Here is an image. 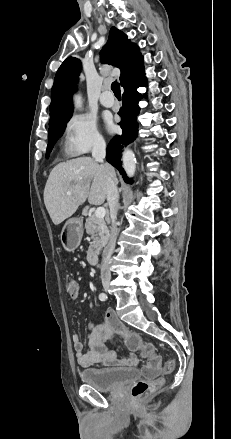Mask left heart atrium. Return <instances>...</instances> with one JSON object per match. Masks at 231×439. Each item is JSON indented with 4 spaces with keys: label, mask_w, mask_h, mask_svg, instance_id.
I'll list each match as a JSON object with an SVG mask.
<instances>
[{
    "label": "left heart atrium",
    "mask_w": 231,
    "mask_h": 439,
    "mask_svg": "<svg viewBox=\"0 0 231 439\" xmlns=\"http://www.w3.org/2000/svg\"><path fill=\"white\" fill-rule=\"evenodd\" d=\"M107 127H108V129H109L110 131L113 130V125H112L111 122H108V123H107Z\"/></svg>",
    "instance_id": "1"
}]
</instances>
